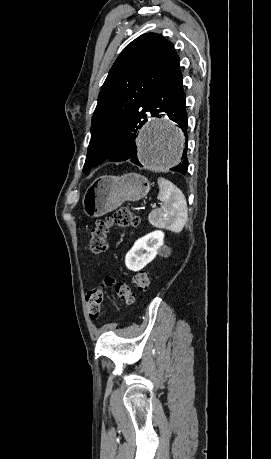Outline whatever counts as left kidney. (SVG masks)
<instances>
[{"label": "left kidney", "instance_id": "5707ae66", "mask_svg": "<svg viewBox=\"0 0 271 459\" xmlns=\"http://www.w3.org/2000/svg\"><path fill=\"white\" fill-rule=\"evenodd\" d=\"M163 237V231H151V233L137 239L130 251L126 253V267L133 269V271L143 269L149 261L154 259L157 249H160L163 243Z\"/></svg>", "mask_w": 271, "mask_h": 459}]
</instances>
